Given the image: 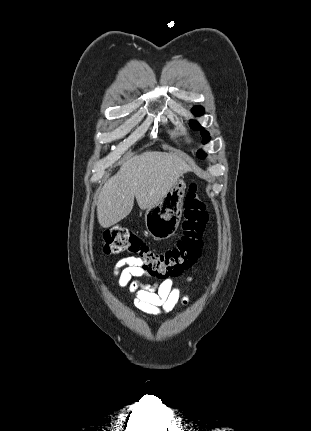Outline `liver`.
Segmentation results:
<instances>
[{
  "label": "liver",
  "mask_w": 311,
  "mask_h": 431,
  "mask_svg": "<svg viewBox=\"0 0 311 431\" xmlns=\"http://www.w3.org/2000/svg\"><path fill=\"white\" fill-rule=\"evenodd\" d=\"M187 172H192L190 166L167 152H144L129 158L101 188L97 200L100 225L111 227L129 216L135 198L140 210L153 208Z\"/></svg>",
  "instance_id": "liver-1"
}]
</instances>
